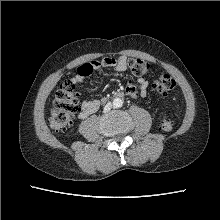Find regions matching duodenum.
<instances>
[{
  "label": "duodenum",
  "mask_w": 220,
  "mask_h": 220,
  "mask_svg": "<svg viewBox=\"0 0 220 220\" xmlns=\"http://www.w3.org/2000/svg\"><path fill=\"white\" fill-rule=\"evenodd\" d=\"M119 96H121V95H119ZM108 100H109V98H104V99L102 100V104L106 103Z\"/></svg>",
  "instance_id": "1"
}]
</instances>
